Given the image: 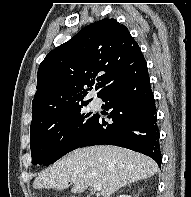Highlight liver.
I'll list each match as a JSON object with an SVG mask.
<instances>
[{
    "label": "liver",
    "mask_w": 191,
    "mask_h": 197,
    "mask_svg": "<svg viewBox=\"0 0 191 197\" xmlns=\"http://www.w3.org/2000/svg\"><path fill=\"white\" fill-rule=\"evenodd\" d=\"M158 171L150 157L126 148L99 145L76 149L43 170L34 180L35 189H66L81 193L88 186L102 184L103 197H110L119 188L150 178Z\"/></svg>",
    "instance_id": "1"
}]
</instances>
